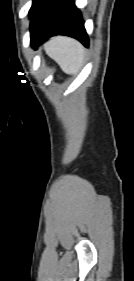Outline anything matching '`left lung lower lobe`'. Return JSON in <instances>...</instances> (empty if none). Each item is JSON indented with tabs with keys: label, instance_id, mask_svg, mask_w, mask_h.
Wrapping results in <instances>:
<instances>
[{
	"label": "left lung lower lobe",
	"instance_id": "left-lung-lower-lobe-1",
	"mask_svg": "<svg viewBox=\"0 0 134 281\" xmlns=\"http://www.w3.org/2000/svg\"><path fill=\"white\" fill-rule=\"evenodd\" d=\"M31 19L32 47H37L45 38L56 34L76 38L88 47L84 22L74 0H40Z\"/></svg>",
	"mask_w": 134,
	"mask_h": 281
}]
</instances>
